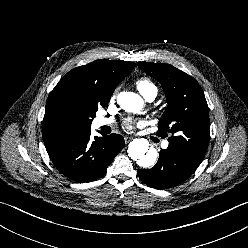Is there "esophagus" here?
<instances>
[{
    "label": "esophagus",
    "instance_id": "34e87169",
    "mask_svg": "<svg viewBox=\"0 0 248 248\" xmlns=\"http://www.w3.org/2000/svg\"><path fill=\"white\" fill-rule=\"evenodd\" d=\"M132 139V137L126 136L124 137L125 143H129V141Z\"/></svg>",
    "mask_w": 248,
    "mask_h": 248
}]
</instances>
